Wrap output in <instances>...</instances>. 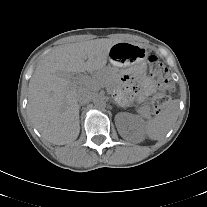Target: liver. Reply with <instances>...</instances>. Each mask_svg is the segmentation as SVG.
<instances>
[{"label":"liver","instance_id":"liver-1","mask_svg":"<svg viewBox=\"0 0 207 207\" xmlns=\"http://www.w3.org/2000/svg\"><path fill=\"white\" fill-rule=\"evenodd\" d=\"M111 39H94L56 47L42 58L30 79L28 116L48 142L64 145L80 132L77 91L91 86L72 81L74 73H94L105 68Z\"/></svg>","mask_w":207,"mask_h":207}]
</instances>
